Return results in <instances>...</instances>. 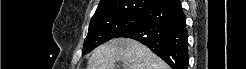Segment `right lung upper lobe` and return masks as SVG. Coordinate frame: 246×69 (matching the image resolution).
I'll return each mask as SVG.
<instances>
[{
    "label": "right lung upper lobe",
    "instance_id": "right-lung-upper-lobe-1",
    "mask_svg": "<svg viewBox=\"0 0 246 69\" xmlns=\"http://www.w3.org/2000/svg\"><path fill=\"white\" fill-rule=\"evenodd\" d=\"M168 0H101L91 20L119 14H142Z\"/></svg>",
    "mask_w": 246,
    "mask_h": 69
}]
</instances>
